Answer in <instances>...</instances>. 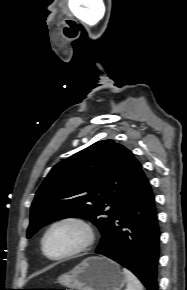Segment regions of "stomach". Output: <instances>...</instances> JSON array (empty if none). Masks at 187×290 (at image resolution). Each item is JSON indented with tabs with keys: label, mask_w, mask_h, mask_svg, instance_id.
<instances>
[{
	"label": "stomach",
	"mask_w": 187,
	"mask_h": 290,
	"mask_svg": "<svg viewBox=\"0 0 187 290\" xmlns=\"http://www.w3.org/2000/svg\"><path fill=\"white\" fill-rule=\"evenodd\" d=\"M57 281L71 290H122L127 282L120 266L103 256L86 258Z\"/></svg>",
	"instance_id": "obj_1"
}]
</instances>
